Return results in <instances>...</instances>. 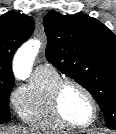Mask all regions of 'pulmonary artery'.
I'll return each mask as SVG.
<instances>
[{
  "mask_svg": "<svg viewBox=\"0 0 116 134\" xmlns=\"http://www.w3.org/2000/svg\"><path fill=\"white\" fill-rule=\"evenodd\" d=\"M47 69H54L53 66L49 63H43L37 66L36 70H47ZM35 70V71H36Z\"/></svg>",
  "mask_w": 116,
  "mask_h": 134,
  "instance_id": "1",
  "label": "pulmonary artery"
}]
</instances>
